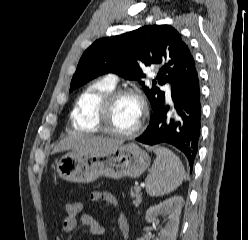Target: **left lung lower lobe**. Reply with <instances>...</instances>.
Returning a JSON list of instances; mask_svg holds the SVG:
<instances>
[{
    "mask_svg": "<svg viewBox=\"0 0 248 240\" xmlns=\"http://www.w3.org/2000/svg\"><path fill=\"white\" fill-rule=\"evenodd\" d=\"M171 97L173 114H168L170 107L164 103L153 113L149 126L136 140L148 145L170 144L185 154L192 167L198 151L202 116L196 69L171 88Z\"/></svg>",
    "mask_w": 248,
    "mask_h": 240,
    "instance_id": "1",
    "label": "left lung lower lobe"
}]
</instances>
